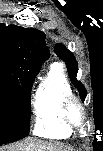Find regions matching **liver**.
<instances>
[{"label": "liver", "instance_id": "liver-1", "mask_svg": "<svg viewBox=\"0 0 103 151\" xmlns=\"http://www.w3.org/2000/svg\"><path fill=\"white\" fill-rule=\"evenodd\" d=\"M2 151H73L62 144H54L37 138L29 137L24 142L12 145Z\"/></svg>", "mask_w": 103, "mask_h": 151}]
</instances>
